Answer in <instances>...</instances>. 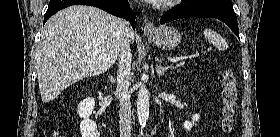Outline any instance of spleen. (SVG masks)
<instances>
[{"mask_svg": "<svg viewBox=\"0 0 280 137\" xmlns=\"http://www.w3.org/2000/svg\"><path fill=\"white\" fill-rule=\"evenodd\" d=\"M204 37L205 39L212 43L214 45V47H216L218 50H226L228 48L227 42L225 41V39L218 34L217 32H215L212 29L206 28L203 31Z\"/></svg>", "mask_w": 280, "mask_h": 137, "instance_id": "obj_1", "label": "spleen"}]
</instances>
